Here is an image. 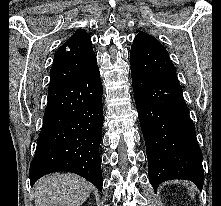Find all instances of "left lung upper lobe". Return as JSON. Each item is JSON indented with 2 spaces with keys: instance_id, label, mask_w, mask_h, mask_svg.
<instances>
[{
  "instance_id": "1",
  "label": "left lung upper lobe",
  "mask_w": 221,
  "mask_h": 206,
  "mask_svg": "<svg viewBox=\"0 0 221 206\" xmlns=\"http://www.w3.org/2000/svg\"><path fill=\"white\" fill-rule=\"evenodd\" d=\"M130 59L131 72L161 81L178 83L176 69L168 52L153 36L140 32L133 41Z\"/></svg>"
}]
</instances>
